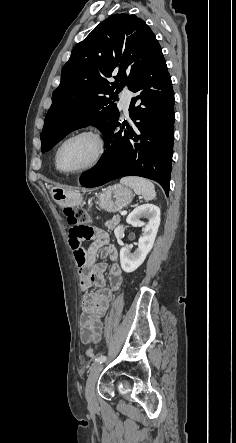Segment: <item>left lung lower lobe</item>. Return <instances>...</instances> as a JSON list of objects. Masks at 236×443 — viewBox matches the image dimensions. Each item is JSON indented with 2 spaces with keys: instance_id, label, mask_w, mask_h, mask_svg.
Wrapping results in <instances>:
<instances>
[{
  "instance_id": "1",
  "label": "left lung lower lobe",
  "mask_w": 236,
  "mask_h": 443,
  "mask_svg": "<svg viewBox=\"0 0 236 443\" xmlns=\"http://www.w3.org/2000/svg\"><path fill=\"white\" fill-rule=\"evenodd\" d=\"M132 98L127 130L118 120L104 134L107 151L99 165L84 172L80 184L96 187L124 176L158 182L169 194L174 141V93L161 47L157 43L141 72L129 87Z\"/></svg>"
}]
</instances>
